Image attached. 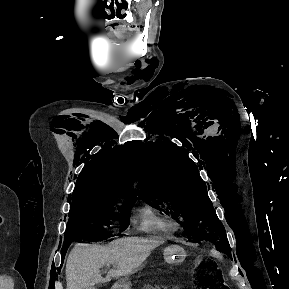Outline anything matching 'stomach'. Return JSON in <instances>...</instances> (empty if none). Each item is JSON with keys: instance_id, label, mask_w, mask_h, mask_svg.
I'll list each match as a JSON object with an SVG mask.
<instances>
[{"instance_id": "obj_1", "label": "stomach", "mask_w": 289, "mask_h": 289, "mask_svg": "<svg viewBox=\"0 0 289 289\" xmlns=\"http://www.w3.org/2000/svg\"><path fill=\"white\" fill-rule=\"evenodd\" d=\"M164 260L169 264H181L186 257L184 248L180 245H171L163 251ZM113 289H130V283L127 280L118 281Z\"/></svg>"}]
</instances>
